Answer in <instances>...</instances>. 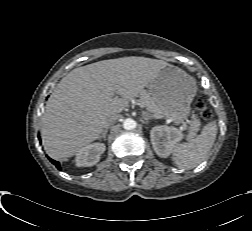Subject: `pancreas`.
Masks as SVG:
<instances>
[{"label": "pancreas", "instance_id": "1", "mask_svg": "<svg viewBox=\"0 0 252 231\" xmlns=\"http://www.w3.org/2000/svg\"><path fill=\"white\" fill-rule=\"evenodd\" d=\"M139 102L140 104H142L144 107H146V109L153 114L154 117L159 118L160 116V110L157 107V105L155 104L153 98L150 96L149 93H147L146 91H142L140 93L139 96ZM199 126H200V121L199 120H195L191 129H190V135H195V133L199 130Z\"/></svg>", "mask_w": 252, "mask_h": 231}]
</instances>
